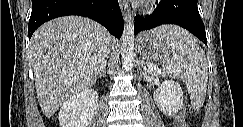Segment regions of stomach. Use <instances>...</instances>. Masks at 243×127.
<instances>
[{"label": "stomach", "instance_id": "0dacf381", "mask_svg": "<svg viewBox=\"0 0 243 127\" xmlns=\"http://www.w3.org/2000/svg\"><path fill=\"white\" fill-rule=\"evenodd\" d=\"M161 30L162 27L141 34L138 49L143 57L155 61H162L165 56L170 57L172 48L167 38L160 33Z\"/></svg>", "mask_w": 243, "mask_h": 127}]
</instances>
